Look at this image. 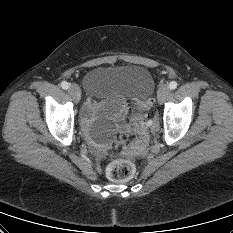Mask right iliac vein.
<instances>
[{
  "label": "right iliac vein",
  "mask_w": 233,
  "mask_h": 233,
  "mask_svg": "<svg viewBox=\"0 0 233 233\" xmlns=\"http://www.w3.org/2000/svg\"><path fill=\"white\" fill-rule=\"evenodd\" d=\"M69 93L75 102H79L81 98V91H80V88L76 84L70 85Z\"/></svg>",
  "instance_id": "1"
}]
</instances>
